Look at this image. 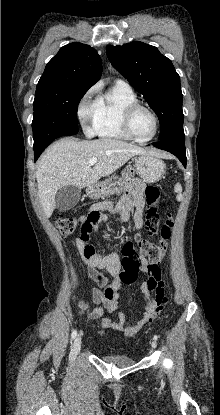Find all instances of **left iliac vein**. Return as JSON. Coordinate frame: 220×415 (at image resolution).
<instances>
[{
	"label": "left iliac vein",
	"instance_id": "obj_1",
	"mask_svg": "<svg viewBox=\"0 0 220 415\" xmlns=\"http://www.w3.org/2000/svg\"><path fill=\"white\" fill-rule=\"evenodd\" d=\"M151 346H152V348H156V346H157L156 341H154V340H153V341L151 342Z\"/></svg>",
	"mask_w": 220,
	"mask_h": 415
}]
</instances>
